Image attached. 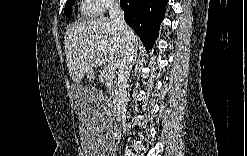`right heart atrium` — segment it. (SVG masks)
Listing matches in <instances>:
<instances>
[{"mask_svg": "<svg viewBox=\"0 0 247 156\" xmlns=\"http://www.w3.org/2000/svg\"><path fill=\"white\" fill-rule=\"evenodd\" d=\"M90 3L95 6L97 14L104 13L116 4L113 0H94Z\"/></svg>", "mask_w": 247, "mask_h": 156, "instance_id": "obj_1", "label": "right heart atrium"}]
</instances>
